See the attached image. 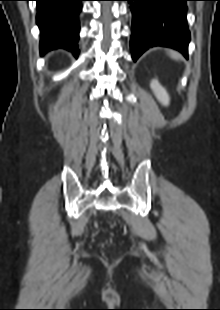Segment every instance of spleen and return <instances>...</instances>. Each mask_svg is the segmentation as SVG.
Instances as JSON below:
<instances>
[{"label":"spleen","mask_w":220,"mask_h":310,"mask_svg":"<svg viewBox=\"0 0 220 310\" xmlns=\"http://www.w3.org/2000/svg\"><path fill=\"white\" fill-rule=\"evenodd\" d=\"M171 57H172L173 59H178L179 56H178V54L172 52V53H171Z\"/></svg>","instance_id":"spleen-1"}]
</instances>
